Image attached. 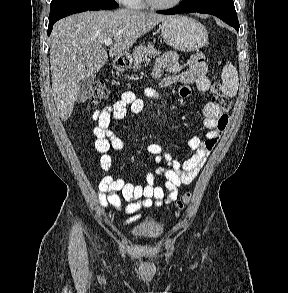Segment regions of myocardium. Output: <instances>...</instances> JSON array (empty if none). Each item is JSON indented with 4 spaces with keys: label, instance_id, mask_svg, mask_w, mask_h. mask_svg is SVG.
Wrapping results in <instances>:
<instances>
[{
    "label": "myocardium",
    "instance_id": "myocardium-1",
    "mask_svg": "<svg viewBox=\"0 0 288 293\" xmlns=\"http://www.w3.org/2000/svg\"><path fill=\"white\" fill-rule=\"evenodd\" d=\"M144 1L150 7L155 8V9H160V10L174 8L181 2V0H172L169 3H159V2H156L155 0H144Z\"/></svg>",
    "mask_w": 288,
    "mask_h": 293
}]
</instances>
